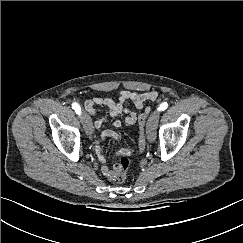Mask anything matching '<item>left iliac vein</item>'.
<instances>
[{
	"mask_svg": "<svg viewBox=\"0 0 243 243\" xmlns=\"http://www.w3.org/2000/svg\"><path fill=\"white\" fill-rule=\"evenodd\" d=\"M160 117V112L155 110L148 119L146 126L147 139L150 142H153L156 139V126L158 119Z\"/></svg>",
	"mask_w": 243,
	"mask_h": 243,
	"instance_id": "left-iliac-vein-1",
	"label": "left iliac vein"
}]
</instances>
